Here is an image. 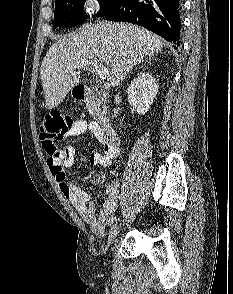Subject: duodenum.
I'll list each match as a JSON object with an SVG mask.
<instances>
[{
	"label": "duodenum",
	"instance_id": "duodenum-1",
	"mask_svg": "<svg viewBox=\"0 0 233 294\" xmlns=\"http://www.w3.org/2000/svg\"><path fill=\"white\" fill-rule=\"evenodd\" d=\"M75 96L80 101L89 102L93 97V93L89 88L85 86H78L75 90ZM100 124L105 137L109 141L114 142L118 137L109 119L106 117L102 118Z\"/></svg>",
	"mask_w": 233,
	"mask_h": 294
}]
</instances>
